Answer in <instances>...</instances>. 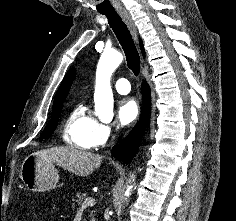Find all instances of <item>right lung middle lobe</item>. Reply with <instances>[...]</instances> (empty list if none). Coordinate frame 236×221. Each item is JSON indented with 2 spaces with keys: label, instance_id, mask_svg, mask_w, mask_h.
I'll use <instances>...</instances> for the list:
<instances>
[{
  "label": "right lung middle lobe",
  "instance_id": "obj_1",
  "mask_svg": "<svg viewBox=\"0 0 236 221\" xmlns=\"http://www.w3.org/2000/svg\"><path fill=\"white\" fill-rule=\"evenodd\" d=\"M62 107H63V104L53 106L51 119L48 122L47 126L45 127L44 131L42 132V135L40 137V141L43 138H49L51 136V134L54 132V130L58 124V120H59V117H60V114L62 111Z\"/></svg>",
  "mask_w": 236,
  "mask_h": 221
}]
</instances>
